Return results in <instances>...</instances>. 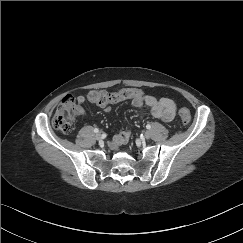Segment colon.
Wrapping results in <instances>:
<instances>
[{
  "instance_id": "obj_1",
  "label": "colon",
  "mask_w": 243,
  "mask_h": 243,
  "mask_svg": "<svg viewBox=\"0 0 243 243\" xmlns=\"http://www.w3.org/2000/svg\"><path fill=\"white\" fill-rule=\"evenodd\" d=\"M141 95L142 92L140 90L133 88H126L116 92L99 90L91 92L88 96V100L92 103L107 104L139 97ZM79 106V103L73 96L65 97L53 116L52 126L63 133H69L72 130L74 119L79 112ZM179 115L183 125L190 124L191 115L187 108H180Z\"/></svg>"
}]
</instances>
